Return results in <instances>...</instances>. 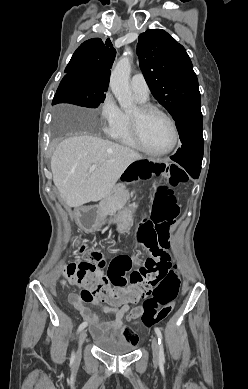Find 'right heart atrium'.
<instances>
[{"instance_id": "d8ad5b80", "label": "right heart atrium", "mask_w": 248, "mask_h": 389, "mask_svg": "<svg viewBox=\"0 0 248 389\" xmlns=\"http://www.w3.org/2000/svg\"><path fill=\"white\" fill-rule=\"evenodd\" d=\"M99 117L103 131L107 135L113 136L120 125L122 111L110 92L104 95L103 100L100 103Z\"/></svg>"}]
</instances>
